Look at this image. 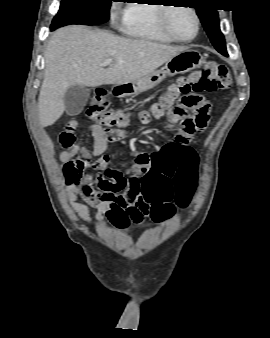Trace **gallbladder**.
I'll use <instances>...</instances> for the list:
<instances>
[{
  "mask_svg": "<svg viewBox=\"0 0 270 338\" xmlns=\"http://www.w3.org/2000/svg\"><path fill=\"white\" fill-rule=\"evenodd\" d=\"M91 89L86 86L73 85L64 95V105L68 115H78L86 105Z\"/></svg>",
  "mask_w": 270,
  "mask_h": 338,
  "instance_id": "obj_1",
  "label": "gallbladder"
}]
</instances>
